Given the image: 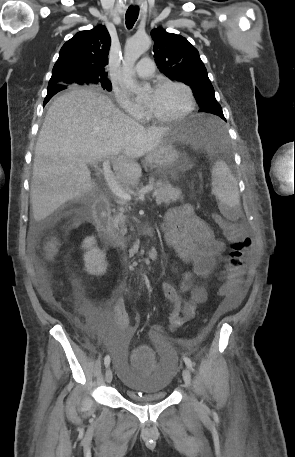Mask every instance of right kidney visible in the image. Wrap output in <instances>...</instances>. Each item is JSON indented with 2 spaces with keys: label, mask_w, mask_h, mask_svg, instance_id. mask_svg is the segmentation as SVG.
<instances>
[{
  "label": "right kidney",
  "mask_w": 295,
  "mask_h": 457,
  "mask_svg": "<svg viewBox=\"0 0 295 457\" xmlns=\"http://www.w3.org/2000/svg\"><path fill=\"white\" fill-rule=\"evenodd\" d=\"M95 242L94 237H87L83 241L82 247L87 250L84 254L85 267L91 274L102 275L106 272L107 262L103 252L95 247Z\"/></svg>",
  "instance_id": "1"
}]
</instances>
